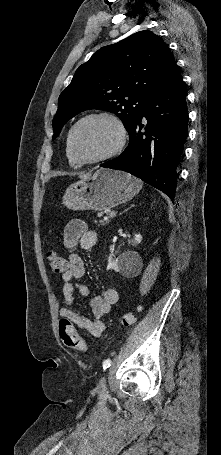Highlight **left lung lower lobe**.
Listing matches in <instances>:
<instances>
[{
  "label": "left lung lower lobe",
  "mask_w": 221,
  "mask_h": 455,
  "mask_svg": "<svg viewBox=\"0 0 221 455\" xmlns=\"http://www.w3.org/2000/svg\"><path fill=\"white\" fill-rule=\"evenodd\" d=\"M187 121L186 91L175 63L139 112L129 133L128 147L100 166L135 175L174 199Z\"/></svg>",
  "instance_id": "1"
}]
</instances>
